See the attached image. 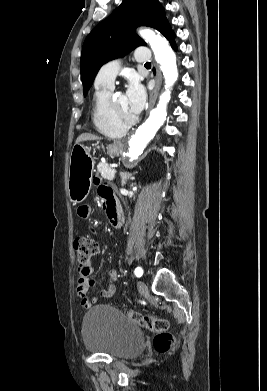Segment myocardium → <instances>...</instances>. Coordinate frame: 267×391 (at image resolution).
<instances>
[{"instance_id": "f54148a6", "label": "myocardium", "mask_w": 267, "mask_h": 391, "mask_svg": "<svg viewBox=\"0 0 267 391\" xmlns=\"http://www.w3.org/2000/svg\"><path fill=\"white\" fill-rule=\"evenodd\" d=\"M108 110H109V113L112 117V119L120 126L122 127H125V128H129L130 126H132L136 121H137V117H132V118H129V119H126V118H123L121 117L114 105H113V102H112V97L108 100Z\"/></svg>"}]
</instances>
